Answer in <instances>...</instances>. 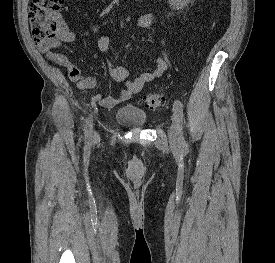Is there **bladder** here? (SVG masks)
Masks as SVG:
<instances>
[{"instance_id": "obj_1", "label": "bladder", "mask_w": 275, "mask_h": 263, "mask_svg": "<svg viewBox=\"0 0 275 263\" xmlns=\"http://www.w3.org/2000/svg\"><path fill=\"white\" fill-rule=\"evenodd\" d=\"M115 120L127 127H142L147 121L146 113L132 104L122 105L115 113Z\"/></svg>"}]
</instances>
